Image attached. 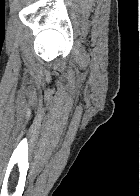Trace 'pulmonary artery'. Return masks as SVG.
<instances>
[{
    "mask_svg": "<svg viewBox=\"0 0 140 196\" xmlns=\"http://www.w3.org/2000/svg\"><path fill=\"white\" fill-rule=\"evenodd\" d=\"M31 192H47V191H31Z\"/></svg>",
    "mask_w": 140,
    "mask_h": 196,
    "instance_id": "1",
    "label": "pulmonary artery"
}]
</instances>
